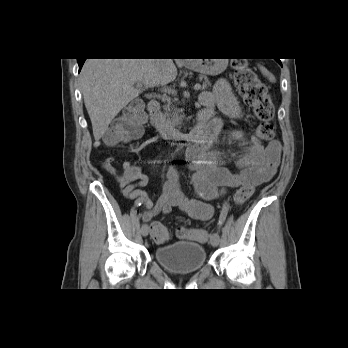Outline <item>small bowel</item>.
Instances as JSON below:
<instances>
[{"label": "small bowel", "mask_w": 348, "mask_h": 348, "mask_svg": "<svg viewBox=\"0 0 348 348\" xmlns=\"http://www.w3.org/2000/svg\"><path fill=\"white\" fill-rule=\"evenodd\" d=\"M200 102L204 107L219 109L228 117L239 119L242 111L226 79H219L213 92L203 91ZM210 127L217 136L224 133L232 142L247 145L248 148L235 160L237 172L227 166V158L220 151L207 150L205 147L191 146L188 158L191 161L192 182L201 199H188L181 192L177 172L171 169L164 184L163 193L153 204L142 189L148 184V177L140 166L123 161L120 168L103 164V169L111 174L125 199L134 200V207H143L142 218L151 221L158 213L167 214L176 208L192 219L208 220L213 214L209 201L218 198L226 189L243 185L257 186L269 181L276 173L280 162L281 144L272 140L267 146L255 144L241 131L228 129L222 118L210 121Z\"/></svg>", "instance_id": "obj_1"}]
</instances>
